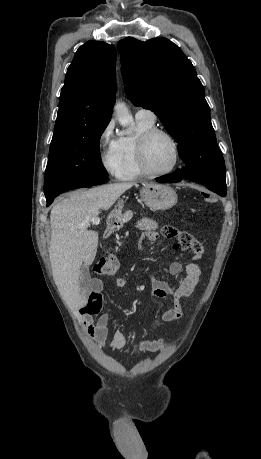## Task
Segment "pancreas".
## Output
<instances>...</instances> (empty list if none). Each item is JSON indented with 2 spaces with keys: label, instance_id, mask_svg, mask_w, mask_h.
Listing matches in <instances>:
<instances>
[{
  "label": "pancreas",
  "instance_id": "cf45deb5",
  "mask_svg": "<svg viewBox=\"0 0 261 459\" xmlns=\"http://www.w3.org/2000/svg\"><path fill=\"white\" fill-rule=\"evenodd\" d=\"M136 228L146 231L156 230L158 228V223L149 218H143L138 221Z\"/></svg>",
  "mask_w": 261,
  "mask_h": 459
}]
</instances>
